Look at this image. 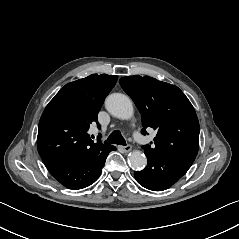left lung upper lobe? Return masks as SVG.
<instances>
[{
  "label": "left lung upper lobe",
  "mask_w": 239,
  "mask_h": 239,
  "mask_svg": "<svg viewBox=\"0 0 239 239\" xmlns=\"http://www.w3.org/2000/svg\"><path fill=\"white\" fill-rule=\"evenodd\" d=\"M124 91L133 99L146 128L158 130L155 147L143 146L156 154L187 153L197 155L199 122L196 112L176 86L151 77L126 76L120 79Z\"/></svg>",
  "instance_id": "left-lung-upper-lobe-1"
}]
</instances>
